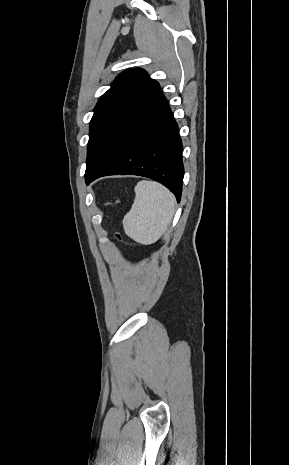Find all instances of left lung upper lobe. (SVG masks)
<instances>
[{
	"mask_svg": "<svg viewBox=\"0 0 289 465\" xmlns=\"http://www.w3.org/2000/svg\"><path fill=\"white\" fill-rule=\"evenodd\" d=\"M160 91L159 83L142 69L118 75L101 96L90 121L85 178L130 129L143 108Z\"/></svg>",
	"mask_w": 289,
	"mask_h": 465,
	"instance_id": "5c2ea615",
	"label": "left lung upper lobe"
}]
</instances>
